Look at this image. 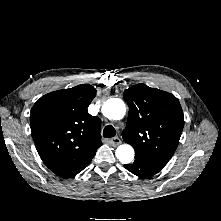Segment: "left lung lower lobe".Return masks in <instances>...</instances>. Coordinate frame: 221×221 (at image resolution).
Masks as SVG:
<instances>
[{"label":"left lung lower lobe","instance_id":"1","mask_svg":"<svg viewBox=\"0 0 221 221\" xmlns=\"http://www.w3.org/2000/svg\"><path fill=\"white\" fill-rule=\"evenodd\" d=\"M136 160L132 164L124 165L131 173L140 178H146L158 173L166 164L164 161L153 160L135 155Z\"/></svg>","mask_w":221,"mask_h":221}]
</instances>
